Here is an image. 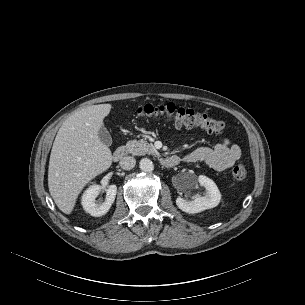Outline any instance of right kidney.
<instances>
[{
    "label": "right kidney",
    "instance_id": "ca27d5eb",
    "mask_svg": "<svg viewBox=\"0 0 305 305\" xmlns=\"http://www.w3.org/2000/svg\"><path fill=\"white\" fill-rule=\"evenodd\" d=\"M101 191V186L91 185L82 196V206L86 212L90 215L99 217L106 214L112 203L115 200L117 187L116 185H110L106 189V198L102 204L96 203V197Z\"/></svg>",
    "mask_w": 305,
    "mask_h": 305
}]
</instances>
